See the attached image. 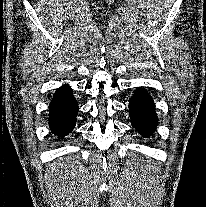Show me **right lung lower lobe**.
Returning <instances> with one entry per match:
<instances>
[{
    "label": "right lung lower lobe",
    "instance_id": "obj_1",
    "mask_svg": "<svg viewBox=\"0 0 206 207\" xmlns=\"http://www.w3.org/2000/svg\"><path fill=\"white\" fill-rule=\"evenodd\" d=\"M49 127L53 134L63 137L75 126L78 105L69 86L58 88L49 106Z\"/></svg>",
    "mask_w": 206,
    "mask_h": 207
}]
</instances>
